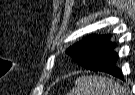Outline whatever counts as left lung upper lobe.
Listing matches in <instances>:
<instances>
[{"instance_id":"obj_1","label":"left lung upper lobe","mask_w":135,"mask_h":95,"mask_svg":"<svg viewBox=\"0 0 135 95\" xmlns=\"http://www.w3.org/2000/svg\"><path fill=\"white\" fill-rule=\"evenodd\" d=\"M109 35H91L66 50L72 59L83 66L88 59L89 55L95 50V48L105 41Z\"/></svg>"}]
</instances>
